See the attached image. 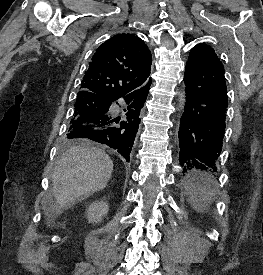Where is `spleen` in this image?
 I'll return each mask as SVG.
<instances>
[{"instance_id": "3e777b00", "label": "spleen", "mask_w": 263, "mask_h": 275, "mask_svg": "<svg viewBox=\"0 0 263 275\" xmlns=\"http://www.w3.org/2000/svg\"><path fill=\"white\" fill-rule=\"evenodd\" d=\"M206 184L195 183L194 180H188L187 184L189 193L191 194V198L189 202L191 206L197 210H199L198 201L205 199L209 200V191L212 190L213 187L217 186L216 182L212 178L206 179Z\"/></svg>"}]
</instances>
